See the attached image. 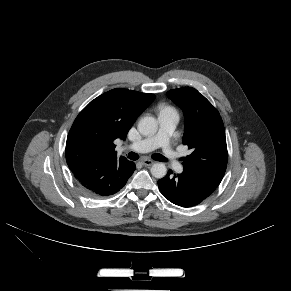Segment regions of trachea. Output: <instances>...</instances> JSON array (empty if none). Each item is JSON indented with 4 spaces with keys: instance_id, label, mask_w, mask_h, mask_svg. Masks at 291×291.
<instances>
[{
    "instance_id": "1",
    "label": "trachea",
    "mask_w": 291,
    "mask_h": 291,
    "mask_svg": "<svg viewBox=\"0 0 291 291\" xmlns=\"http://www.w3.org/2000/svg\"><path fill=\"white\" fill-rule=\"evenodd\" d=\"M127 157L129 159H131V160H138L139 159V155L137 153H135V152L128 153ZM152 158L154 160L161 161V162H166L167 161L166 158L161 154H153Z\"/></svg>"
}]
</instances>
